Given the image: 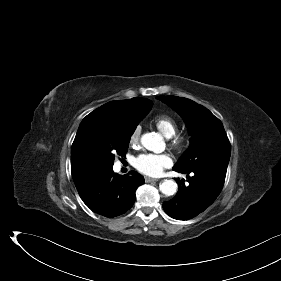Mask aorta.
Listing matches in <instances>:
<instances>
[{
	"mask_svg": "<svg viewBox=\"0 0 281 281\" xmlns=\"http://www.w3.org/2000/svg\"><path fill=\"white\" fill-rule=\"evenodd\" d=\"M141 144L147 150L157 152L163 145V138L155 132L146 133L141 137ZM159 187L160 191L166 196L174 195L177 192V184L173 180H164Z\"/></svg>",
	"mask_w": 281,
	"mask_h": 281,
	"instance_id": "1",
	"label": "aorta"
}]
</instances>
